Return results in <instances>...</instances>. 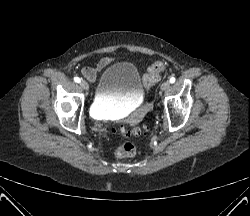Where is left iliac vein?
Here are the masks:
<instances>
[{
  "instance_id": "left-iliac-vein-1",
  "label": "left iliac vein",
  "mask_w": 250,
  "mask_h": 216,
  "mask_svg": "<svg viewBox=\"0 0 250 216\" xmlns=\"http://www.w3.org/2000/svg\"><path fill=\"white\" fill-rule=\"evenodd\" d=\"M169 87H170V83L168 81H165L161 85V90L166 91L169 89Z\"/></svg>"
}]
</instances>
